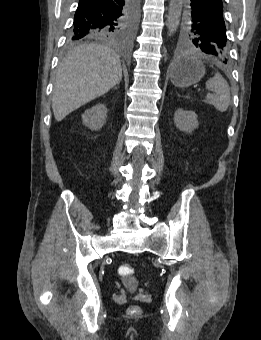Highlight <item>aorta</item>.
<instances>
[{"mask_svg":"<svg viewBox=\"0 0 261 340\" xmlns=\"http://www.w3.org/2000/svg\"><path fill=\"white\" fill-rule=\"evenodd\" d=\"M181 10L182 0H170L166 23L168 36H172L176 32L180 23Z\"/></svg>","mask_w":261,"mask_h":340,"instance_id":"762f6f07","label":"aorta"}]
</instances>
